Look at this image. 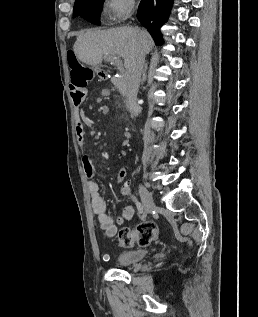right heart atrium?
Here are the masks:
<instances>
[{"instance_id": "obj_1", "label": "right heart atrium", "mask_w": 258, "mask_h": 317, "mask_svg": "<svg viewBox=\"0 0 258 317\" xmlns=\"http://www.w3.org/2000/svg\"><path fill=\"white\" fill-rule=\"evenodd\" d=\"M133 0H108L105 15L111 25L120 24L134 9Z\"/></svg>"}]
</instances>
